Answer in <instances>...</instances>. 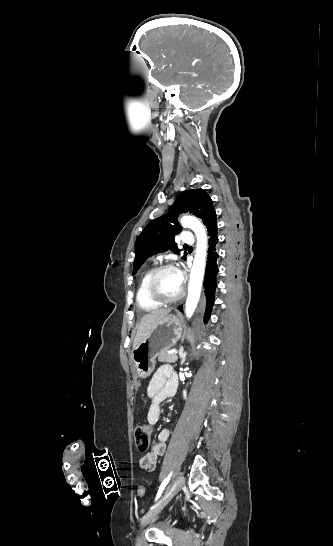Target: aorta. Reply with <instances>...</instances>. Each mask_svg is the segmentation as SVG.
Masks as SVG:
<instances>
[{"mask_svg":"<svg viewBox=\"0 0 333 546\" xmlns=\"http://www.w3.org/2000/svg\"><path fill=\"white\" fill-rule=\"evenodd\" d=\"M180 222L183 227L191 228L197 237L196 254L191 269L185 308L186 316L190 318L200 298L206 262L207 234L204 225L193 216H183Z\"/></svg>","mask_w":333,"mask_h":546,"instance_id":"aorta-1","label":"aorta"}]
</instances>
